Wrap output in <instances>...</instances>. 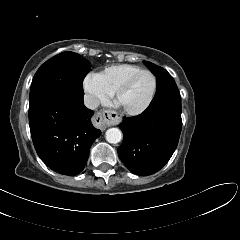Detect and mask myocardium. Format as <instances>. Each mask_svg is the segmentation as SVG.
<instances>
[{
	"label": "myocardium",
	"instance_id": "1",
	"mask_svg": "<svg viewBox=\"0 0 240 240\" xmlns=\"http://www.w3.org/2000/svg\"><path fill=\"white\" fill-rule=\"evenodd\" d=\"M144 73H148L153 77V81H154V86H153V90L151 93L150 98L148 99V101L141 107L139 108H135V109H130V108H125L123 107L124 111L129 114V115H141L144 112H146L150 106L152 105L156 93H157V89H158V78L156 76V74L149 70V69H142L139 72L133 74L132 76H130L115 92V100L120 104V98L121 96L131 87V85L133 84V82L142 74Z\"/></svg>",
	"mask_w": 240,
	"mask_h": 240
}]
</instances>
